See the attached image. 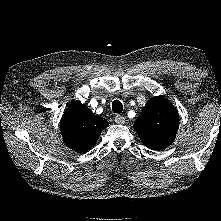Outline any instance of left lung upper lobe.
Instances as JSON below:
<instances>
[{
  "label": "left lung upper lobe",
  "mask_w": 221,
  "mask_h": 221,
  "mask_svg": "<svg viewBox=\"0 0 221 221\" xmlns=\"http://www.w3.org/2000/svg\"><path fill=\"white\" fill-rule=\"evenodd\" d=\"M178 126L177 110L162 96L150 99L134 123L140 140L153 150L170 145L175 139Z\"/></svg>",
  "instance_id": "1"
}]
</instances>
